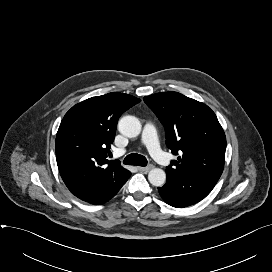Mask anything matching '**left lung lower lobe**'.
<instances>
[{"instance_id":"1","label":"left lung lower lobe","mask_w":272,"mask_h":272,"mask_svg":"<svg viewBox=\"0 0 272 272\" xmlns=\"http://www.w3.org/2000/svg\"><path fill=\"white\" fill-rule=\"evenodd\" d=\"M217 181L197 177L190 173L177 176L167 174L166 184L158 188V191L167 204L176 208H184L204 199Z\"/></svg>"}]
</instances>
